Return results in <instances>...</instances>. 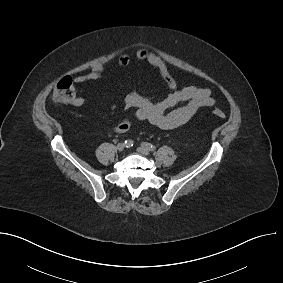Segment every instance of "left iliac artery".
Masks as SVG:
<instances>
[{"label": "left iliac artery", "instance_id": "44dca946", "mask_svg": "<svg viewBox=\"0 0 283 283\" xmlns=\"http://www.w3.org/2000/svg\"><path fill=\"white\" fill-rule=\"evenodd\" d=\"M142 147L145 148L146 150H149V151H154L156 149L155 146H153L152 144L150 143H147V142H142Z\"/></svg>", "mask_w": 283, "mask_h": 283}]
</instances>
